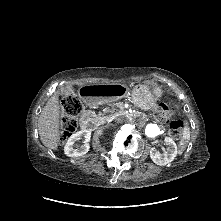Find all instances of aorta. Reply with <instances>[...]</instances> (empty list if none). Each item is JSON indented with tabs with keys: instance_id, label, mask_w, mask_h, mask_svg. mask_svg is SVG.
I'll list each match as a JSON object with an SVG mask.
<instances>
[{
	"instance_id": "obj_1",
	"label": "aorta",
	"mask_w": 221,
	"mask_h": 221,
	"mask_svg": "<svg viewBox=\"0 0 221 221\" xmlns=\"http://www.w3.org/2000/svg\"><path fill=\"white\" fill-rule=\"evenodd\" d=\"M160 129L156 124H148L145 128V134L148 137H156L159 135Z\"/></svg>"
}]
</instances>
